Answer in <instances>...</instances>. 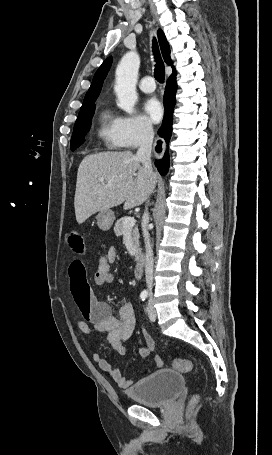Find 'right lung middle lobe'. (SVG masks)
I'll return each mask as SVG.
<instances>
[{
	"label": "right lung middle lobe",
	"instance_id": "obj_1",
	"mask_svg": "<svg viewBox=\"0 0 272 455\" xmlns=\"http://www.w3.org/2000/svg\"><path fill=\"white\" fill-rule=\"evenodd\" d=\"M94 102L84 104L81 107L79 115L74 125V131L71 137V150L74 151L85 141V135L91 126V119L94 114Z\"/></svg>",
	"mask_w": 272,
	"mask_h": 455
}]
</instances>
